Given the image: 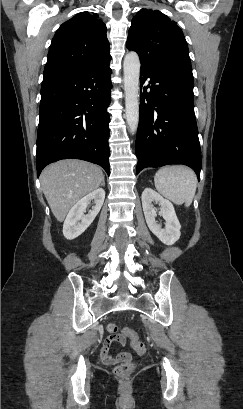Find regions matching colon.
<instances>
[{
  "label": "colon",
  "instance_id": "1",
  "mask_svg": "<svg viewBox=\"0 0 243 409\" xmlns=\"http://www.w3.org/2000/svg\"><path fill=\"white\" fill-rule=\"evenodd\" d=\"M107 330L110 333H116L118 330V327L114 323H109L107 325ZM121 338L124 340L128 339L130 341L131 347L137 353L142 354L145 351V346L143 342L140 340L136 332L125 328L122 330ZM133 370H134V364L131 363L129 360H126L114 368V373L116 376L126 379L130 376Z\"/></svg>",
  "mask_w": 243,
  "mask_h": 409
}]
</instances>
